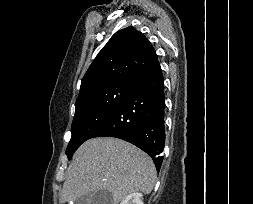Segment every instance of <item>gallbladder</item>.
Returning <instances> with one entry per match:
<instances>
[{
  "mask_svg": "<svg viewBox=\"0 0 253 204\" xmlns=\"http://www.w3.org/2000/svg\"><path fill=\"white\" fill-rule=\"evenodd\" d=\"M75 204H113V199L109 191L97 190L79 198Z\"/></svg>",
  "mask_w": 253,
  "mask_h": 204,
  "instance_id": "obj_1",
  "label": "gallbladder"
}]
</instances>
